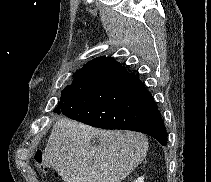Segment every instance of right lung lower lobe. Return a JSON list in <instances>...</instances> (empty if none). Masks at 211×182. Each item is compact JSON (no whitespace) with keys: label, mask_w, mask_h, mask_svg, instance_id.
<instances>
[{"label":"right lung lower lobe","mask_w":211,"mask_h":182,"mask_svg":"<svg viewBox=\"0 0 211 182\" xmlns=\"http://www.w3.org/2000/svg\"><path fill=\"white\" fill-rule=\"evenodd\" d=\"M54 112L97 128L146 133L167 145L166 128L151 93L109 57L84 65L75 88Z\"/></svg>","instance_id":"98d812e1"}]
</instances>
